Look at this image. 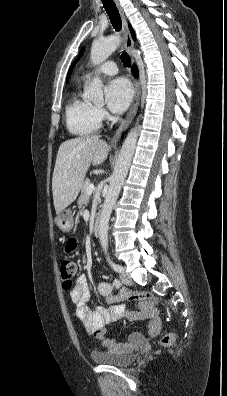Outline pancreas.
I'll return each instance as SVG.
<instances>
[{
  "instance_id": "pancreas-1",
  "label": "pancreas",
  "mask_w": 227,
  "mask_h": 396,
  "mask_svg": "<svg viewBox=\"0 0 227 396\" xmlns=\"http://www.w3.org/2000/svg\"><path fill=\"white\" fill-rule=\"evenodd\" d=\"M91 181L89 179H86L85 182L83 183L81 187V195L78 199V205L79 207H82L87 203V200L89 198V194L87 193V188L91 185Z\"/></svg>"
}]
</instances>
